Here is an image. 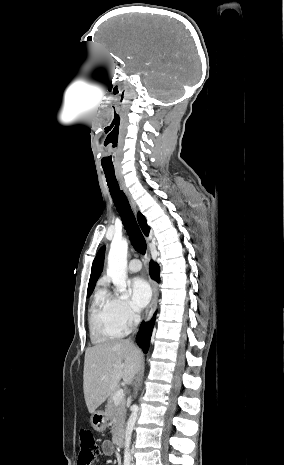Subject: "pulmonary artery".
<instances>
[{"label": "pulmonary artery", "instance_id": "e3ab8cb5", "mask_svg": "<svg viewBox=\"0 0 284 465\" xmlns=\"http://www.w3.org/2000/svg\"><path fill=\"white\" fill-rule=\"evenodd\" d=\"M142 268V264L138 259H133L128 264V271L130 273L139 272Z\"/></svg>", "mask_w": 284, "mask_h": 465}]
</instances>
